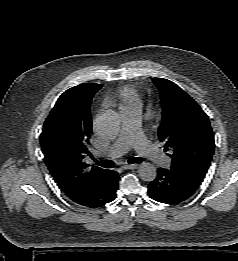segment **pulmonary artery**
Here are the masks:
<instances>
[{"label":"pulmonary artery","mask_w":238,"mask_h":261,"mask_svg":"<svg viewBox=\"0 0 238 261\" xmlns=\"http://www.w3.org/2000/svg\"><path fill=\"white\" fill-rule=\"evenodd\" d=\"M122 115V127L117 139L104 153L109 158H118L131 148L158 165H168L170 159L152 145L141 131L140 112L129 111Z\"/></svg>","instance_id":"obj_1"}]
</instances>
